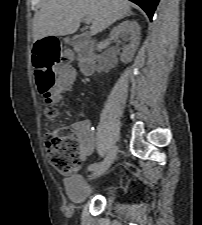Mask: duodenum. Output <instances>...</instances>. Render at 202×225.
<instances>
[{"label":"duodenum","mask_w":202,"mask_h":225,"mask_svg":"<svg viewBox=\"0 0 202 225\" xmlns=\"http://www.w3.org/2000/svg\"><path fill=\"white\" fill-rule=\"evenodd\" d=\"M80 71L84 75H92L96 70L95 44L90 41H83L77 50Z\"/></svg>","instance_id":"obj_1"}]
</instances>
